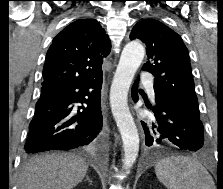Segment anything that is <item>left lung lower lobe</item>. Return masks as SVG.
Masks as SVG:
<instances>
[{
    "mask_svg": "<svg viewBox=\"0 0 223 189\" xmlns=\"http://www.w3.org/2000/svg\"><path fill=\"white\" fill-rule=\"evenodd\" d=\"M136 81L132 87V99L138 101ZM155 91L156 105L151 107L153 123L141 121L145 133V145L154 149L165 144H174L183 150L199 151L204 145L203 124L200 118L193 117L167 105Z\"/></svg>",
    "mask_w": 223,
    "mask_h": 189,
    "instance_id": "0a47b994",
    "label": "left lung lower lobe"
}]
</instances>
